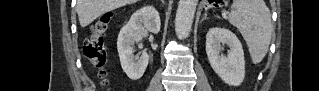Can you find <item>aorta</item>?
<instances>
[{
  "label": "aorta",
  "instance_id": "obj_1",
  "mask_svg": "<svg viewBox=\"0 0 319 91\" xmlns=\"http://www.w3.org/2000/svg\"><path fill=\"white\" fill-rule=\"evenodd\" d=\"M198 0H179L175 17V32L179 39H185L192 27Z\"/></svg>",
  "mask_w": 319,
  "mask_h": 91
}]
</instances>
